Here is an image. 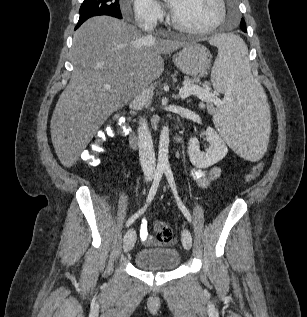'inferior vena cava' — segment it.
Returning a JSON list of instances; mask_svg holds the SVG:
<instances>
[{"label":"inferior vena cava","instance_id":"obj_1","mask_svg":"<svg viewBox=\"0 0 307 317\" xmlns=\"http://www.w3.org/2000/svg\"><path fill=\"white\" fill-rule=\"evenodd\" d=\"M156 26V21H149L142 25L145 31L150 32ZM148 41H154L152 35L146 36ZM139 159L145 177H153L156 171V158L153 140L146 119L140 117L138 126Z\"/></svg>","mask_w":307,"mask_h":317}]
</instances>
